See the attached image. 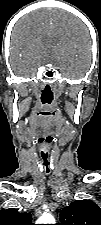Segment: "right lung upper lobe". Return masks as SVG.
I'll return each instance as SVG.
<instances>
[{"label":"right lung upper lobe","mask_w":101,"mask_h":225,"mask_svg":"<svg viewBox=\"0 0 101 225\" xmlns=\"http://www.w3.org/2000/svg\"><path fill=\"white\" fill-rule=\"evenodd\" d=\"M30 213H19L14 208L0 211V225H33Z\"/></svg>","instance_id":"cb5924a9"}]
</instances>
